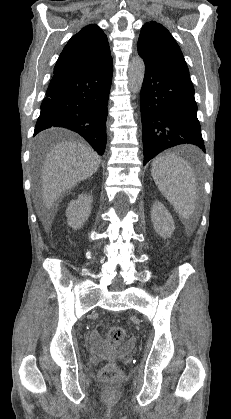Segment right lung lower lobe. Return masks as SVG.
<instances>
[{"label":"right lung lower lobe","instance_id":"1","mask_svg":"<svg viewBox=\"0 0 231 419\" xmlns=\"http://www.w3.org/2000/svg\"><path fill=\"white\" fill-rule=\"evenodd\" d=\"M112 72L110 62L93 70L54 73L34 135L47 128L65 127L84 137L102 155Z\"/></svg>","mask_w":231,"mask_h":419}]
</instances>
